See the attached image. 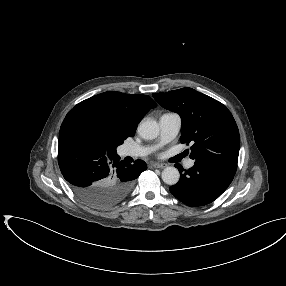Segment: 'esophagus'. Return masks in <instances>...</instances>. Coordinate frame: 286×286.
Listing matches in <instances>:
<instances>
[{"label": "esophagus", "mask_w": 286, "mask_h": 286, "mask_svg": "<svg viewBox=\"0 0 286 286\" xmlns=\"http://www.w3.org/2000/svg\"><path fill=\"white\" fill-rule=\"evenodd\" d=\"M152 167L154 168H165L167 166V164L164 163H153L151 164Z\"/></svg>", "instance_id": "obj_1"}]
</instances>
